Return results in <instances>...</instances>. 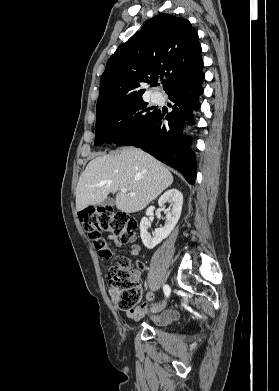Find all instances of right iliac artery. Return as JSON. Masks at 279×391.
Masks as SVG:
<instances>
[{
    "label": "right iliac artery",
    "instance_id": "82829eb1",
    "mask_svg": "<svg viewBox=\"0 0 279 391\" xmlns=\"http://www.w3.org/2000/svg\"><path fill=\"white\" fill-rule=\"evenodd\" d=\"M163 290H164L165 296L168 297L170 295V291H171L170 287L168 285H164Z\"/></svg>",
    "mask_w": 279,
    "mask_h": 391
}]
</instances>
